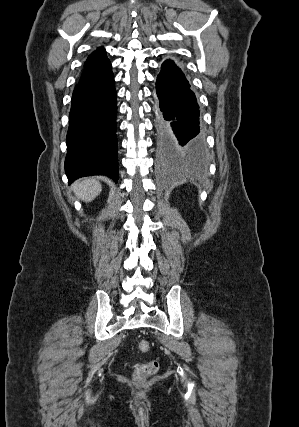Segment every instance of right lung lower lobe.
<instances>
[{
    "instance_id": "98d812e1",
    "label": "right lung lower lobe",
    "mask_w": 299,
    "mask_h": 427,
    "mask_svg": "<svg viewBox=\"0 0 299 427\" xmlns=\"http://www.w3.org/2000/svg\"><path fill=\"white\" fill-rule=\"evenodd\" d=\"M116 91L112 71L79 82L73 92L65 172L69 184L83 176L118 180Z\"/></svg>"
}]
</instances>
